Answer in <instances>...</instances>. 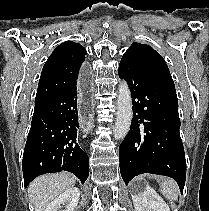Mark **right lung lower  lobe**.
<instances>
[{
  "instance_id": "obj_1",
  "label": "right lung lower lobe",
  "mask_w": 209,
  "mask_h": 211,
  "mask_svg": "<svg viewBox=\"0 0 209 211\" xmlns=\"http://www.w3.org/2000/svg\"><path fill=\"white\" fill-rule=\"evenodd\" d=\"M78 118L76 86L35 108L22 161L25 187L41 174L62 170L86 181L89 157L77 143Z\"/></svg>"
}]
</instances>
